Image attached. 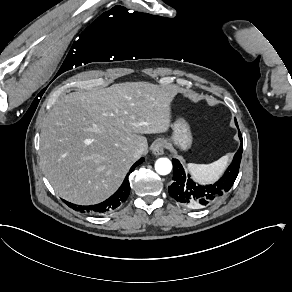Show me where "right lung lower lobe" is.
Wrapping results in <instances>:
<instances>
[{"label": "right lung lower lobe", "mask_w": 292, "mask_h": 292, "mask_svg": "<svg viewBox=\"0 0 292 292\" xmlns=\"http://www.w3.org/2000/svg\"><path fill=\"white\" fill-rule=\"evenodd\" d=\"M143 161H144V158H141L131 167L129 173L125 177L120 188L110 198H108L104 202L96 204V205H90V206L75 205L65 200H63V202L76 211H80L82 213H90V214L104 213V212H108L117 208L118 206H120V204L125 202L129 196L130 184L128 182V175L135 169L137 165L141 164Z\"/></svg>", "instance_id": "98d812e1"}]
</instances>
